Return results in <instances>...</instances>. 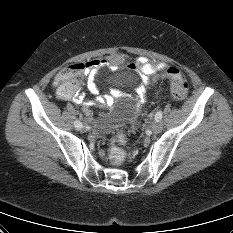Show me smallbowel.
I'll use <instances>...</instances> for the list:
<instances>
[{
	"mask_svg": "<svg viewBox=\"0 0 233 233\" xmlns=\"http://www.w3.org/2000/svg\"><path fill=\"white\" fill-rule=\"evenodd\" d=\"M124 62V57L121 54H114L105 59H93L87 61L84 66V73L86 77V85L88 91L93 95H98V88L95 83V78L98 72L108 68L112 71L118 69ZM130 70L138 71L141 76L142 84L137 87V102L143 104L146 101V89L149 87L150 77L156 75L160 79L166 78L167 74L164 72L166 68L169 67L167 63L154 64L149 61L146 57H140L135 63L130 64ZM53 85L57 87V94L60 99L71 100L74 103L82 104L84 106L83 112L86 116L91 115L92 106H110L113 103V97L104 96L96 97L95 99H87L83 93L79 90L71 94H63L57 86L56 80L54 78ZM118 96V93L113 94Z\"/></svg>",
	"mask_w": 233,
	"mask_h": 233,
	"instance_id": "c3829d8e",
	"label": "small bowel"
}]
</instances>
